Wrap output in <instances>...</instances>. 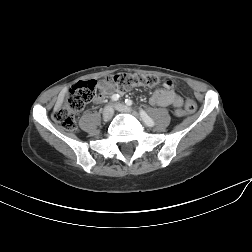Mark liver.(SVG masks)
Segmentation results:
<instances>
[{
    "instance_id": "6515ba94",
    "label": "liver",
    "mask_w": 252,
    "mask_h": 252,
    "mask_svg": "<svg viewBox=\"0 0 252 252\" xmlns=\"http://www.w3.org/2000/svg\"><path fill=\"white\" fill-rule=\"evenodd\" d=\"M67 92H68V89H67V88H64V89L59 93L58 98H57V102H56V104H55V109H58V108L62 105V103H63V101H64V97H65V95L67 94Z\"/></svg>"
}]
</instances>
